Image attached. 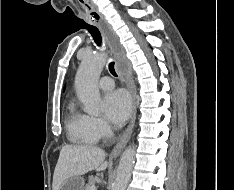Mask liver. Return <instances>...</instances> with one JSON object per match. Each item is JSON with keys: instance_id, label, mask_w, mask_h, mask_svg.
<instances>
[{"instance_id": "1", "label": "liver", "mask_w": 234, "mask_h": 190, "mask_svg": "<svg viewBox=\"0 0 234 190\" xmlns=\"http://www.w3.org/2000/svg\"><path fill=\"white\" fill-rule=\"evenodd\" d=\"M105 156V151L95 146H63L54 170L52 190H59L69 177L81 176L92 170H105L108 166Z\"/></svg>"}]
</instances>
